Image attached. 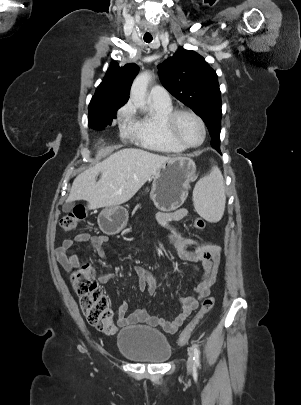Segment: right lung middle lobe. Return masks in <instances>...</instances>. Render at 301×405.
<instances>
[{
  "label": "right lung middle lobe",
  "mask_w": 301,
  "mask_h": 405,
  "mask_svg": "<svg viewBox=\"0 0 301 405\" xmlns=\"http://www.w3.org/2000/svg\"><path fill=\"white\" fill-rule=\"evenodd\" d=\"M117 110L102 106H89V127L97 130L104 129L105 126L110 125L112 120L116 118Z\"/></svg>",
  "instance_id": "1"
}]
</instances>
